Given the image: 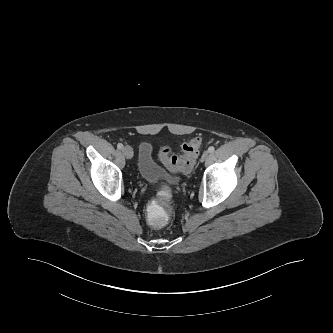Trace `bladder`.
<instances>
[{
    "mask_svg": "<svg viewBox=\"0 0 333 333\" xmlns=\"http://www.w3.org/2000/svg\"><path fill=\"white\" fill-rule=\"evenodd\" d=\"M152 145L149 142H142L138 150V172L141 178L148 182L159 183L167 181L174 183L175 178L167 175L164 168L153 158Z\"/></svg>",
    "mask_w": 333,
    "mask_h": 333,
    "instance_id": "1",
    "label": "bladder"
}]
</instances>
